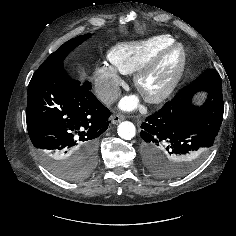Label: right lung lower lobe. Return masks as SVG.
<instances>
[{
  "label": "right lung lower lobe",
  "instance_id": "right-lung-lower-lobe-1",
  "mask_svg": "<svg viewBox=\"0 0 236 236\" xmlns=\"http://www.w3.org/2000/svg\"><path fill=\"white\" fill-rule=\"evenodd\" d=\"M109 117L90 82L71 79L63 66L33 74L26 122L29 137L43 156L96 161L98 137L108 128Z\"/></svg>",
  "mask_w": 236,
  "mask_h": 236
}]
</instances>
